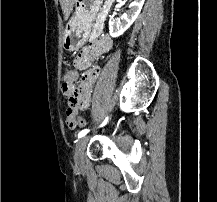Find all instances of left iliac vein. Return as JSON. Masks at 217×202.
<instances>
[{
	"instance_id": "4c4485c4",
	"label": "left iliac vein",
	"mask_w": 217,
	"mask_h": 202,
	"mask_svg": "<svg viewBox=\"0 0 217 202\" xmlns=\"http://www.w3.org/2000/svg\"><path fill=\"white\" fill-rule=\"evenodd\" d=\"M88 139L89 138L87 136L81 137L75 146V159L77 165L80 167L84 165V153H85Z\"/></svg>"
}]
</instances>
